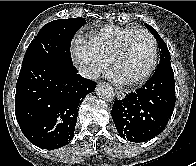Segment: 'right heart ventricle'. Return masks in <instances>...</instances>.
Returning a JSON list of instances; mask_svg holds the SVG:
<instances>
[{
	"label": "right heart ventricle",
	"mask_w": 196,
	"mask_h": 166,
	"mask_svg": "<svg viewBox=\"0 0 196 166\" xmlns=\"http://www.w3.org/2000/svg\"><path fill=\"white\" fill-rule=\"evenodd\" d=\"M134 28L107 26L90 36L87 40L91 48L108 62H111L120 48L123 39Z\"/></svg>",
	"instance_id": "obj_1"
}]
</instances>
